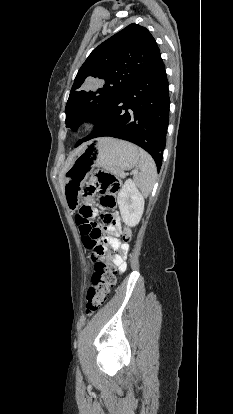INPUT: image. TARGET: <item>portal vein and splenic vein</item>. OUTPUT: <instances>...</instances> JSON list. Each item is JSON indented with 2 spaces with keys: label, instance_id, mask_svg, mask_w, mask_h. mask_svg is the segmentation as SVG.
<instances>
[{
  "label": "portal vein and splenic vein",
  "instance_id": "18ae733b",
  "mask_svg": "<svg viewBox=\"0 0 233 414\" xmlns=\"http://www.w3.org/2000/svg\"><path fill=\"white\" fill-rule=\"evenodd\" d=\"M133 173H137V170H133L132 171ZM126 176V174L124 173L123 175H122V177H125Z\"/></svg>",
  "mask_w": 233,
  "mask_h": 414
}]
</instances>
